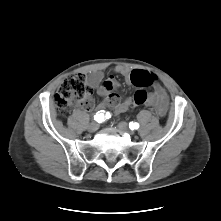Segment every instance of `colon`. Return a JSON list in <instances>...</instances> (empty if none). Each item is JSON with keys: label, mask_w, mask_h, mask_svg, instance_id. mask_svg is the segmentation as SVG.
Wrapping results in <instances>:
<instances>
[{"label": "colon", "mask_w": 221, "mask_h": 221, "mask_svg": "<svg viewBox=\"0 0 221 221\" xmlns=\"http://www.w3.org/2000/svg\"><path fill=\"white\" fill-rule=\"evenodd\" d=\"M131 80L139 87L134 94L135 105H142L148 98L144 87L153 84L155 77L142 71L134 70ZM55 104L59 114L64 115L68 110L77 104L90 108L93 104L91 89L81 74H72L64 79L55 95Z\"/></svg>", "instance_id": "colon-1"}]
</instances>
